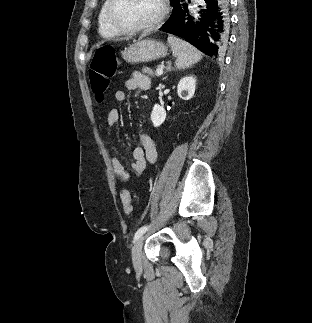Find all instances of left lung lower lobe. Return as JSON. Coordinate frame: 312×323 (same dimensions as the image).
Here are the masks:
<instances>
[{"label":"left lung lower lobe","mask_w":312,"mask_h":323,"mask_svg":"<svg viewBox=\"0 0 312 323\" xmlns=\"http://www.w3.org/2000/svg\"><path fill=\"white\" fill-rule=\"evenodd\" d=\"M204 1L203 5L191 7L180 0L174 16L160 30L178 36L204 54L217 58L228 47L230 4L227 0Z\"/></svg>","instance_id":"obj_1"}]
</instances>
